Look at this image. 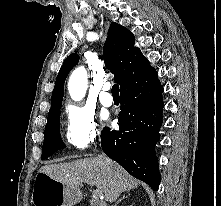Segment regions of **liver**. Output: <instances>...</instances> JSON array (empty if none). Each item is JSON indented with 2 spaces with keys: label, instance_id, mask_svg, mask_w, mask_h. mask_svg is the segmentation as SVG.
<instances>
[{
  "label": "liver",
  "instance_id": "liver-1",
  "mask_svg": "<svg viewBox=\"0 0 221 206\" xmlns=\"http://www.w3.org/2000/svg\"><path fill=\"white\" fill-rule=\"evenodd\" d=\"M39 173L76 188H79L83 181L95 185L108 202H114L120 193L135 189L139 185V182L115 161L107 159L105 162L100 157L45 165L40 168Z\"/></svg>",
  "mask_w": 221,
  "mask_h": 206
}]
</instances>
